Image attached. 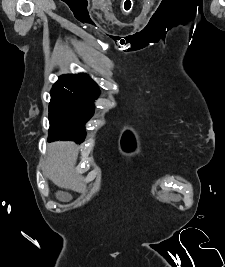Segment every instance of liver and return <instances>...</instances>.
Here are the masks:
<instances>
[{
  "label": "liver",
  "mask_w": 225,
  "mask_h": 267,
  "mask_svg": "<svg viewBox=\"0 0 225 267\" xmlns=\"http://www.w3.org/2000/svg\"><path fill=\"white\" fill-rule=\"evenodd\" d=\"M78 148L73 142H55L48 145L44 162L45 174L57 186L79 193L87 191L83 177L74 173Z\"/></svg>",
  "instance_id": "obj_1"
}]
</instances>
